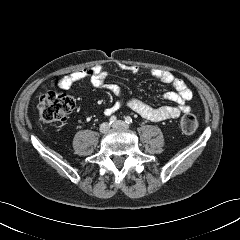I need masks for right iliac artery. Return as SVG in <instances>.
Masks as SVG:
<instances>
[{"label": "right iliac artery", "mask_w": 240, "mask_h": 240, "mask_svg": "<svg viewBox=\"0 0 240 240\" xmlns=\"http://www.w3.org/2000/svg\"><path fill=\"white\" fill-rule=\"evenodd\" d=\"M110 124H113L116 122V117L115 116H111L109 119Z\"/></svg>", "instance_id": "82829eb1"}]
</instances>
